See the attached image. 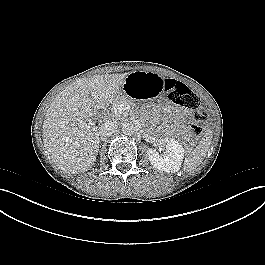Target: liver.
Here are the masks:
<instances>
[{
  "label": "liver",
  "mask_w": 265,
  "mask_h": 265,
  "mask_svg": "<svg viewBox=\"0 0 265 265\" xmlns=\"http://www.w3.org/2000/svg\"><path fill=\"white\" fill-rule=\"evenodd\" d=\"M128 73L105 74L68 85L52 101L43 123V143L64 172L89 170L99 151V132L89 119L109 106Z\"/></svg>",
  "instance_id": "obj_1"
}]
</instances>
